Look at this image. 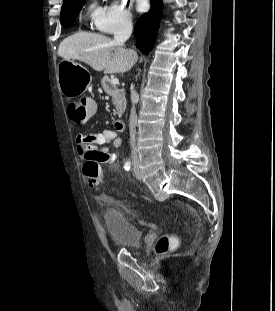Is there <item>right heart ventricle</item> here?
I'll return each instance as SVG.
<instances>
[{
	"label": "right heart ventricle",
	"mask_w": 275,
	"mask_h": 311,
	"mask_svg": "<svg viewBox=\"0 0 275 311\" xmlns=\"http://www.w3.org/2000/svg\"><path fill=\"white\" fill-rule=\"evenodd\" d=\"M102 11L103 8L99 5V3L95 0H92L89 2L86 8L85 17L88 21L94 23L96 19L101 15Z\"/></svg>",
	"instance_id": "obj_1"
}]
</instances>
